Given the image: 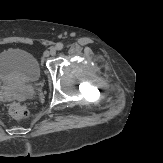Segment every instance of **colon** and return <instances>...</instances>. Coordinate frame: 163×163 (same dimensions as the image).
Here are the masks:
<instances>
[{
    "label": "colon",
    "instance_id": "obj_1",
    "mask_svg": "<svg viewBox=\"0 0 163 163\" xmlns=\"http://www.w3.org/2000/svg\"><path fill=\"white\" fill-rule=\"evenodd\" d=\"M10 113L16 119H23L27 117L28 110L26 106L21 103H13L10 107Z\"/></svg>",
    "mask_w": 163,
    "mask_h": 163
}]
</instances>
